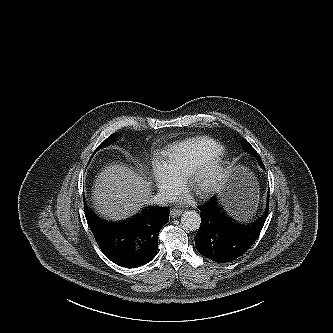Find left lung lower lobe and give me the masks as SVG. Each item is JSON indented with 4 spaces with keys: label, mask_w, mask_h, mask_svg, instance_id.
<instances>
[{
    "label": "left lung lower lobe",
    "mask_w": 333,
    "mask_h": 333,
    "mask_svg": "<svg viewBox=\"0 0 333 333\" xmlns=\"http://www.w3.org/2000/svg\"><path fill=\"white\" fill-rule=\"evenodd\" d=\"M198 209L201 216L195 236L198 252L212 261L227 263L244 254L258 238L268 216L269 193L264 214L253 223H243L230 217L216 196Z\"/></svg>",
    "instance_id": "1"
}]
</instances>
